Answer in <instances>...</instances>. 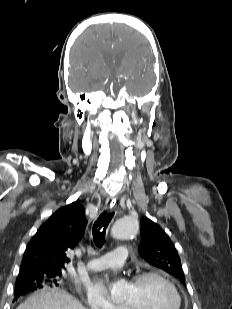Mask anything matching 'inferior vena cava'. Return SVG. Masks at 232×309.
<instances>
[{"label": "inferior vena cava", "mask_w": 232, "mask_h": 309, "mask_svg": "<svg viewBox=\"0 0 232 309\" xmlns=\"http://www.w3.org/2000/svg\"><path fill=\"white\" fill-rule=\"evenodd\" d=\"M91 309H99L98 306L96 304L91 306Z\"/></svg>", "instance_id": "1"}]
</instances>
